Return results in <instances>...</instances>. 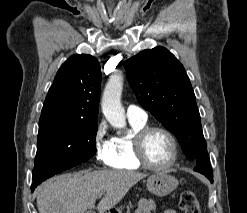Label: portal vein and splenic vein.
I'll list each match as a JSON object with an SVG mask.
<instances>
[{"instance_id": "obj_1", "label": "portal vein and splenic vein", "mask_w": 247, "mask_h": 213, "mask_svg": "<svg viewBox=\"0 0 247 213\" xmlns=\"http://www.w3.org/2000/svg\"><path fill=\"white\" fill-rule=\"evenodd\" d=\"M98 197H102V193L98 195Z\"/></svg>"}]
</instances>
